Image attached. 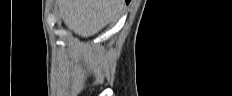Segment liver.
Here are the masks:
<instances>
[{"label":"liver","instance_id":"1","mask_svg":"<svg viewBox=\"0 0 232 96\" xmlns=\"http://www.w3.org/2000/svg\"><path fill=\"white\" fill-rule=\"evenodd\" d=\"M124 8L125 0H59L65 25L85 38L116 21Z\"/></svg>","mask_w":232,"mask_h":96}]
</instances>
